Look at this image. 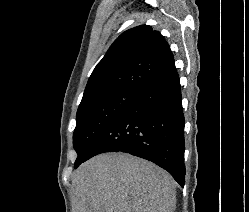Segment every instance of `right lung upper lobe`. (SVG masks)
<instances>
[{
	"label": "right lung upper lobe",
	"instance_id": "right-lung-upper-lobe-1",
	"mask_svg": "<svg viewBox=\"0 0 249 212\" xmlns=\"http://www.w3.org/2000/svg\"><path fill=\"white\" fill-rule=\"evenodd\" d=\"M176 72L174 58L163 36L140 25L122 33L97 64L81 102L115 91H142Z\"/></svg>",
	"mask_w": 249,
	"mask_h": 212
}]
</instances>
